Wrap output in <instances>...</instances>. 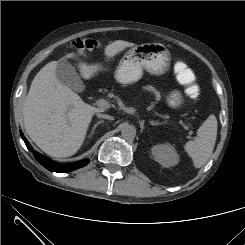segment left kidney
I'll list each match as a JSON object with an SVG mask.
<instances>
[{"label":"left kidney","instance_id":"left-kidney-1","mask_svg":"<svg viewBox=\"0 0 245 245\" xmlns=\"http://www.w3.org/2000/svg\"><path fill=\"white\" fill-rule=\"evenodd\" d=\"M154 159L163 167H171L179 162V155L175 148L169 144H157L151 148Z\"/></svg>","mask_w":245,"mask_h":245}]
</instances>
